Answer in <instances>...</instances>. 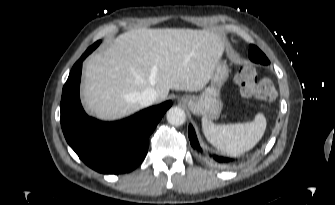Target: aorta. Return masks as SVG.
<instances>
[{
    "instance_id": "obj_1",
    "label": "aorta",
    "mask_w": 335,
    "mask_h": 205,
    "mask_svg": "<svg viewBox=\"0 0 335 205\" xmlns=\"http://www.w3.org/2000/svg\"><path fill=\"white\" fill-rule=\"evenodd\" d=\"M167 121L175 126H180L186 121L185 111L180 107H171L166 114Z\"/></svg>"
}]
</instances>
